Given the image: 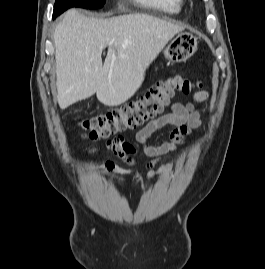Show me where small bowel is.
<instances>
[{"label":"small bowel","instance_id":"small-bowel-1","mask_svg":"<svg viewBox=\"0 0 265 269\" xmlns=\"http://www.w3.org/2000/svg\"><path fill=\"white\" fill-rule=\"evenodd\" d=\"M210 96L207 90H201L194 94L193 99L195 102H204ZM171 113L162 115L140 129L135 136L137 146L129 143L123 137H117L108 142L109 149L113 154L122 160L128 168H122L116 165L113 161L107 160L101 165V170L106 175L115 176L119 181H123L122 177L131 172H135L139 163L135 156L142 152L147 155L150 160L145 164L147 169V177L153 179L158 173L168 172L172 165L165 163L156 169L158 162L165 156L173 154L177 147L182 144L187 135L191 131L200 126L199 113L195 110L192 103L174 102L170 105ZM172 126L173 129L170 133V140L159 146H152L147 144V139L152 136L156 131L166 127ZM98 151L96 147L88 148L89 153ZM138 179V174L135 173Z\"/></svg>","mask_w":265,"mask_h":269}]
</instances>
